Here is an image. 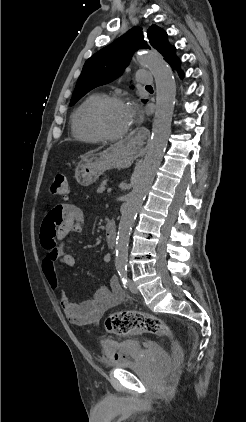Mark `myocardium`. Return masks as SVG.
I'll return each instance as SVG.
<instances>
[{
  "label": "myocardium",
  "instance_id": "f54148a6",
  "mask_svg": "<svg viewBox=\"0 0 246 422\" xmlns=\"http://www.w3.org/2000/svg\"><path fill=\"white\" fill-rule=\"evenodd\" d=\"M111 104H124L118 96H102L97 100L88 112V121L93 131L105 141H116L124 138L130 131V127L120 133L108 132L101 121V113L105 107Z\"/></svg>",
  "mask_w": 246,
  "mask_h": 422
}]
</instances>
